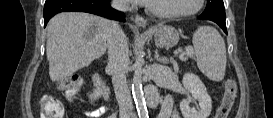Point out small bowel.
Listing matches in <instances>:
<instances>
[{
    "mask_svg": "<svg viewBox=\"0 0 273 118\" xmlns=\"http://www.w3.org/2000/svg\"><path fill=\"white\" fill-rule=\"evenodd\" d=\"M105 109L100 108L87 113L90 117L100 116ZM159 118H178V114L175 112L173 108V100L170 96H166L163 104L161 106V110L159 113Z\"/></svg>",
    "mask_w": 273,
    "mask_h": 118,
    "instance_id": "1",
    "label": "small bowel"
}]
</instances>
